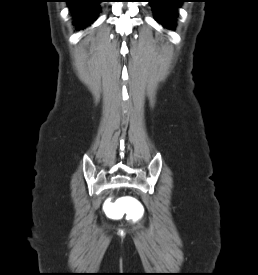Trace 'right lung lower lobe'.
<instances>
[{
    "label": "right lung lower lobe",
    "instance_id": "obj_1",
    "mask_svg": "<svg viewBox=\"0 0 258 275\" xmlns=\"http://www.w3.org/2000/svg\"><path fill=\"white\" fill-rule=\"evenodd\" d=\"M67 2L73 13L75 27L81 29L97 17L101 0H67Z\"/></svg>",
    "mask_w": 258,
    "mask_h": 275
}]
</instances>
